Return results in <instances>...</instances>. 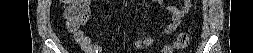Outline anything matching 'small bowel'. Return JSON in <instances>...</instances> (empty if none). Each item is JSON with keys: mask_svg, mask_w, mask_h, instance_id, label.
Listing matches in <instances>:
<instances>
[{"mask_svg": "<svg viewBox=\"0 0 253 53\" xmlns=\"http://www.w3.org/2000/svg\"><path fill=\"white\" fill-rule=\"evenodd\" d=\"M192 7L191 0L183 1L181 8H176L174 6H170L168 8L169 12L172 14V20L165 28L166 33H171L177 29L180 25L183 17L189 12ZM75 38L78 43H80L82 49L88 53H95V47L93 41L87 36L85 30L83 28H79L75 31ZM146 45L150 44V40H144Z\"/></svg>", "mask_w": 253, "mask_h": 53, "instance_id": "small-bowel-1", "label": "small bowel"}]
</instances>
